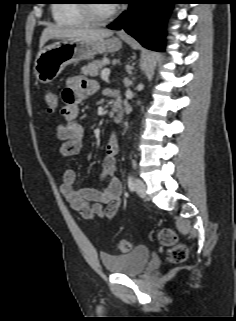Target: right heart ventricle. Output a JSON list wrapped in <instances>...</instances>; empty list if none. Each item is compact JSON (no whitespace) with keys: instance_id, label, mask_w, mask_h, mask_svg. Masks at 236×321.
Masks as SVG:
<instances>
[{"instance_id":"1","label":"right heart ventricle","mask_w":236,"mask_h":321,"mask_svg":"<svg viewBox=\"0 0 236 321\" xmlns=\"http://www.w3.org/2000/svg\"><path fill=\"white\" fill-rule=\"evenodd\" d=\"M81 0H59L52 7V17L60 26H81L87 23L81 9Z\"/></svg>"}]
</instances>
